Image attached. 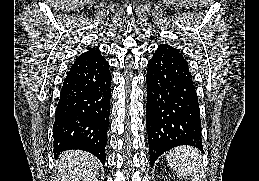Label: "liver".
I'll list each match as a JSON object with an SVG mask.
<instances>
[{
	"instance_id": "liver-1",
	"label": "liver",
	"mask_w": 259,
	"mask_h": 181,
	"mask_svg": "<svg viewBox=\"0 0 259 181\" xmlns=\"http://www.w3.org/2000/svg\"><path fill=\"white\" fill-rule=\"evenodd\" d=\"M100 161L85 151L69 150L60 156L58 181H96Z\"/></svg>"
}]
</instances>
